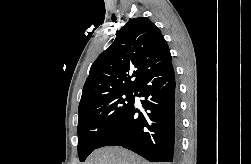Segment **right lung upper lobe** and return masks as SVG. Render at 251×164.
Returning <instances> with one entry per match:
<instances>
[{
  "label": "right lung upper lobe",
  "mask_w": 251,
  "mask_h": 164,
  "mask_svg": "<svg viewBox=\"0 0 251 164\" xmlns=\"http://www.w3.org/2000/svg\"><path fill=\"white\" fill-rule=\"evenodd\" d=\"M171 64L169 47L149 19L129 20L92 64L79 108L113 92L136 90L150 74Z\"/></svg>",
  "instance_id": "right-lung-upper-lobe-1"
}]
</instances>
